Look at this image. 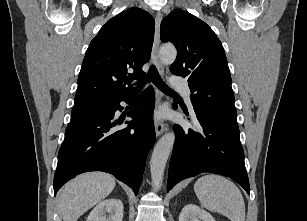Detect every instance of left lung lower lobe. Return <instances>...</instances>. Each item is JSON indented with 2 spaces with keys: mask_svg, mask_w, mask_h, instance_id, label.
<instances>
[{
  "mask_svg": "<svg viewBox=\"0 0 307 221\" xmlns=\"http://www.w3.org/2000/svg\"><path fill=\"white\" fill-rule=\"evenodd\" d=\"M194 112L198 131L174 126L176 141L169 166L168 191L185 178L211 172L230 177L249 194L239 127L202 108L194 107Z\"/></svg>",
  "mask_w": 307,
  "mask_h": 221,
  "instance_id": "obj_1",
  "label": "left lung lower lobe"
}]
</instances>
